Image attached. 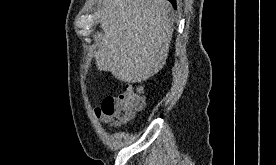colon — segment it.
<instances>
[{
	"label": "colon",
	"mask_w": 276,
	"mask_h": 165,
	"mask_svg": "<svg viewBox=\"0 0 276 165\" xmlns=\"http://www.w3.org/2000/svg\"><path fill=\"white\" fill-rule=\"evenodd\" d=\"M143 96L138 86L127 85L118 96L103 100L100 110L109 122L124 123L132 119L134 113L142 108Z\"/></svg>",
	"instance_id": "colon-1"
}]
</instances>
